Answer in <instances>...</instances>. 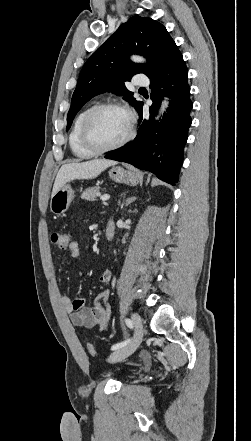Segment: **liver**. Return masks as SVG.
Instances as JSON below:
<instances>
[{
  "mask_svg": "<svg viewBox=\"0 0 251 441\" xmlns=\"http://www.w3.org/2000/svg\"><path fill=\"white\" fill-rule=\"evenodd\" d=\"M116 161L94 159L80 163H68L60 168L52 190V196L67 182L80 179H92L97 177L106 168L116 165Z\"/></svg>",
  "mask_w": 251,
  "mask_h": 441,
  "instance_id": "liver-1",
  "label": "liver"
}]
</instances>
